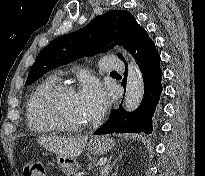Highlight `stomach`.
I'll return each instance as SVG.
<instances>
[{
    "instance_id": "0dacf381",
    "label": "stomach",
    "mask_w": 205,
    "mask_h": 176,
    "mask_svg": "<svg viewBox=\"0 0 205 176\" xmlns=\"http://www.w3.org/2000/svg\"><path fill=\"white\" fill-rule=\"evenodd\" d=\"M113 147H114L113 139L104 136L93 137L88 144V150L93 155H102L107 151L111 150ZM56 162L67 176H71L79 168V163L75 158L72 157L57 155Z\"/></svg>"
}]
</instances>
